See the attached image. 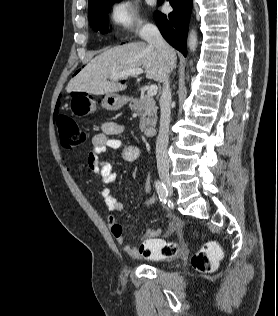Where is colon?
Here are the masks:
<instances>
[{"instance_id": "obj_1", "label": "colon", "mask_w": 278, "mask_h": 316, "mask_svg": "<svg viewBox=\"0 0 278 316\" xmlns=\"http://www.w3.org/2000/svg\"><path fill=\"white\" fill-rule=\"evenodd\" d=\"M60 143L64 148L72 149L84 144L87 133L70 117L58 115L55 119ZM141 255L151 258L173 257L178 253V246L174 242L160 239L144 241L140 248ZM222 257V250L215 242H207L191 258L195 270L201 273L212 272Z\"/></svg>"}]
</instances>
